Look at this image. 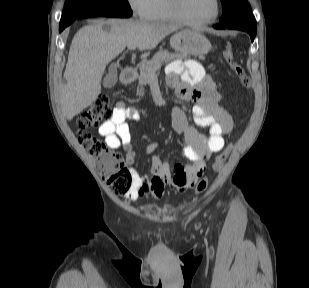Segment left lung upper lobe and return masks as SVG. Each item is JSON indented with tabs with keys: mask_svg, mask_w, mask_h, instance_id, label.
Wrapping results in <instances>:
<instances>
[{
	"mask_svg": "<svg viewBox=\"0 0 309 288\" xmlns=\"http://www.w3.org/2000/svg\"><path fill=\"white\" fill-rule=\"evenodd\" d=\"M223 15L221 23H229L244 16L252 15L246 0H221Z\"/></svg>",
	"mask_w": 309,
	"mask_h": 288,
	"instance_id": "5c2ea615",
	"label": "left lung upper lobe"
}]
</instances>
